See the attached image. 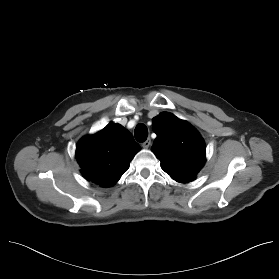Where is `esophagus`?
Wrapping results in <instances>:
<instances>
[{
  "label": "esophagus",
  "instance_id": "obj_1",
  "mask_svg": "<svg viewBox=\"0 0 279 279\" xmlns=\"http://www.w3.org/2000/svg\"><path fill=\"white\" fill-rule=\"evenodd\" d=\"M151 145V139L148 138L145 142L142 143V147L147 149Z\"/></svg>",
  "mask_w": 279,
  "mask_h": 279
}]
</instances>
